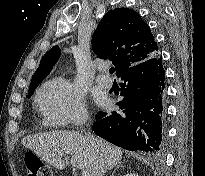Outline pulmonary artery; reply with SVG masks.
I'll list each match as a JSON object with an SVG mask.
<instances>
[{
    "mask_svg": "<svg viewBox=\"0 0 205 176\" xmlns=\"http://www.w3.org/2000/svg\"><path fill=\"white\" fill-rule=\"evenodd\" d=\"M101 71H104V68H100ZM97 83L105 88H110L113 84L112 79L108 76L99 75L97 77Z\"/></svg>",
    "mask_w": 205,
    "mask_h": 176,
    "instance_id": "pulmonary-artery-1",
    "label": "pulmonary artery"
}]
</instances>
